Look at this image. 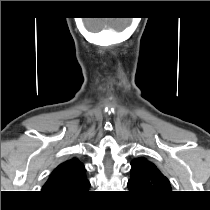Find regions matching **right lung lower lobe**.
Segmentation results:
<instances>
[{
    "mask_svg": "<svg viewBox=\"0 0 210 210\" xmlns=\"http://www.w3.org/2000/svg\"><path fill=\"white\" fill-rule=\"evenodd\" d=\"M79 197H76V198H58L60 200H64V201H72V200H76L78 199Z\"/></svg>",
    "mask_w": 210,
    "mask_h": 210,
    "instance_id": "obj_1",
    "label": "right lung lower lobe"
}]
</instances>
